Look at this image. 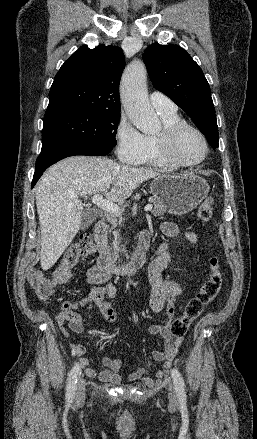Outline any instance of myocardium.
Returning a JSON list of instances; mask_svg holds the SVG:
<instances>
[{
    "mask_svg": "<svg viewBox=\"0 0 257 439\" xmlns=\"http://www.w3.org/2000/svg\"><path fill=\"white\" fill-rule=\"evenodd\" d=\"M186 130L195 132L203 142L204 154L198 161L195 162H183L175 154L174 146L178 137ZM158 147L163 154L165 160L172 166L177 168H194L202 164L209 154V143L205 134L196 126L180 121L178 123L163 126L162 130L157 136Z\"/></svg>",
    "mask_w": 257,
    "mask_h": 439,
    "instance_id": "obj_1",
    "label": "myocardium"
}]
</instances>
